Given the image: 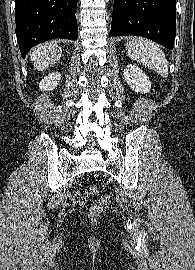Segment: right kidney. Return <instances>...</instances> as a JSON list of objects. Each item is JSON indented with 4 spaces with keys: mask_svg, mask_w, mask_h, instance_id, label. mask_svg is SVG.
<instances>
[{
    "mask_svg": "<svg viewBox=\"0 0 195 270\" xmlns=\"http://www.w3.org/2000/svg\"><path fill=\"white\" fill-rule=\"evenodd\" d=\"M60 78L61 74L58 72L48 74V76L44 77L40 82V90L52 91L59 84Z\"/></svg>",
    "mask_w": 195,
    "mask_h": 270,
    "instance_id": "right-kidney-1",
    "label": "right kidney"
}]
</instances>
